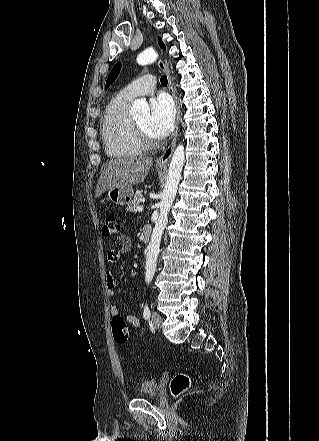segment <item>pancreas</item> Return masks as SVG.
<instances>
[{
  "label": "pancreas",
  "instance_id": "1",
  "mask_svg": "<svg viewBox=\"0 0 319 441\" xmlns=\"http://www.w3.org/2000/svg\"><path fill=\"white\" fill-rule=\"evenodd\" d=\"M143 194L140 191H136L133 200L128 204L127 210L130 212H136L137 207L142 203Z\"/></svg>",
  "mask_w": 319,
  "mask_h": 441
}]
</instances>
